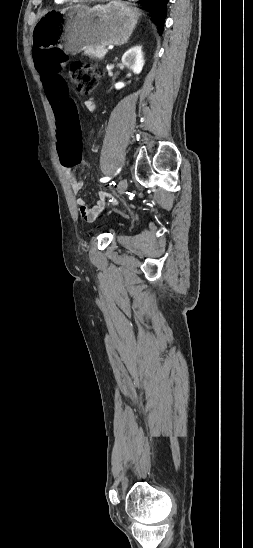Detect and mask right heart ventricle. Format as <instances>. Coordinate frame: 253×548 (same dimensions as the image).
<instances>
[{"label": "right heart ventricle", "mask_w": 253, "mask_h": 548, "mask_svg": "<svg viewBox=\"0 0 253 548\" xmlns=\"http://www.w3.org/2000/svg\"><path fill=\"white\" fill-rule=\"evenodd\" d=\"M54 1H55V3H57V4H62V3H64V2H66V0H54Z\"/></svg>", "instance_id": "obj_1"}]
</instances>
